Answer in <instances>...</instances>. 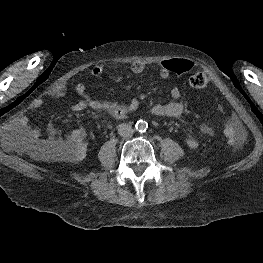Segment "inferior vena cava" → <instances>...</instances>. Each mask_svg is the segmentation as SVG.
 <instances>
[{
    "label": "inferior vena cava",
    "instance_id": "inferior-vena-cava-1",
    "mask_svg": "<svg viewBox=\"0 0 263 263\" xmlns=\"http://www.w3.org/2000/svg\"><path fill=\"white\" fill-rule=\"evenodd\" d=\"M118 133L120 136L127 137L132 133V128L127 123H121L118 126Z\"/></svg>",
    "mask_w": 263,
    "mask_h": 263
}]
</instances>
